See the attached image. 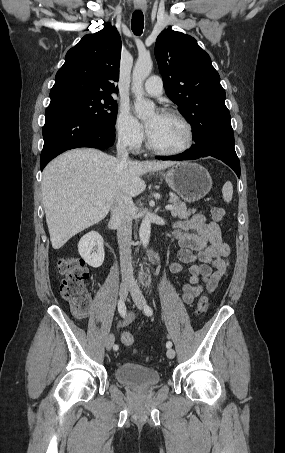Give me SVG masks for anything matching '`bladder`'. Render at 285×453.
Instances as JSON below:
<instances>
[{
    "instance_id": "obj_1",
    "label": "bladder",
    "mask_w": 285,
    "mask_h": 453,
    "mask_svg": "<svg viewBox=\"0 0 285 453\" xmlns=\"http://www.w3.org/2000/svg\"><path fill=\"white\" fill-rule=\"evenodd\" d=\"M115 378L133 388H150L160 381V373L151 367L134 363H123L114 370Z\"/></svg>"
}]
</instances>
